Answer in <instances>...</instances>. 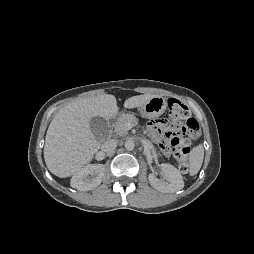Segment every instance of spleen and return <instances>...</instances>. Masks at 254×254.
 Instances as JSON below:
<instances>
[{
    "label": "spleen",
    "mask_w": 254,
    "mask_h": 254,
    "mask_svg": "<svg viewBox=\"0 0 254 254\" xmlns=\"http://www.w3.org/2000/svg\"><path fill=\"white\" fill-rule=\"evenodd\" d=\"M204 159V148L201 144L194 147L189 154V174L190 176L196 175Z\"/></svg>",
    "instance_id": "obj_1"
}]
</instances>
